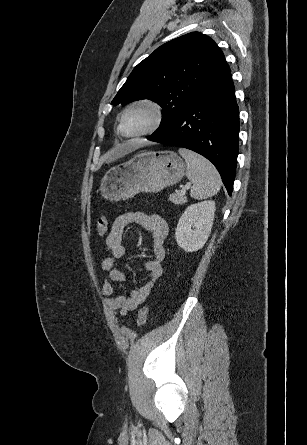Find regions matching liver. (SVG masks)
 Listing matches in <instances>:
<instances>
[{
	"mask_svg": "<svg viewBox=\"0 0 307 445\" xmlns=\"http://www.w3.org/2000/svg\"><path fill=\"white\" fill-rule=\"evenodd\" d=\"M115 158H118V154H105L104 156L105 162H111V160H115Z\"/></svg>",
	"mask_w": 307,
	"mask_h": 445,
	"instance_id": "1",
	"label": "liver"
}]
</instances>
